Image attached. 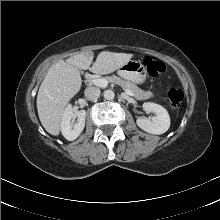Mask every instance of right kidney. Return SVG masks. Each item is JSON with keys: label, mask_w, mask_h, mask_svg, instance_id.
Masks as SVG:
<instances>
[{"label": "right kidney", "mask_w": 220, "mask_h": 220, "mask_svg": "<svg viewBox=\"0 0 220 220\" xmlns=\"http://www.w3.org/2000/svg\"><path fill=\"white\" fill-rule=\"evenodd\" d=\"M85 117V110L74 112L71 105L67 106L61 119L62 135L69 141L75 140L85 127ZM75 118H77V122L73 124L71 121Z\"/></svg>", "instance_id": "right-kidney-1"}]
</instances>
